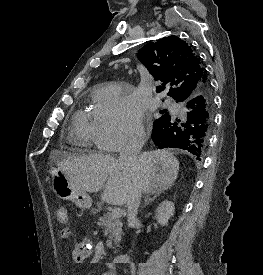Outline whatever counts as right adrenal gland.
Returning a JSON list of instances; mask_svg holds the SVG:
<instances>
[{
    "instance_id": "2a0ac1e0",
    "label": "right adrenal gland",
    "mask_w": 263,
    "mask_h": 275,
    "mask_svg": "<svg viewBox=\"0 0 263 275\" xmlns=\"http://www.w3.org/2000/svg\"><path fill=\"white\" fill-rule=\"evenodd\" d=\"M157 194L153 195L152 197H150L149 195H147L145 197V201H144V206H147L149 203H151L152 201H154L157 198Z\"/></svg>"
}]
</instances>
